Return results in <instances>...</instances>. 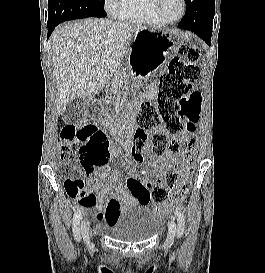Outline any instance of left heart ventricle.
<instances>
[{
  "label": "left heart ventricle",
  "mask_w": 265,
  "mask_h": 273,
  "mask_svg": "<svg viewBox=\"0 0 265 273\" xmlns=\"http://www.w3.org/2000/svg\"><path fill=\"white\" fill-rule=\"evenodd\" d=\"M161 10L166 18L177 19L182 12L181 0H162Z\"/></svg>",
  "instance_id": "obj_1"
}]
</instances>
